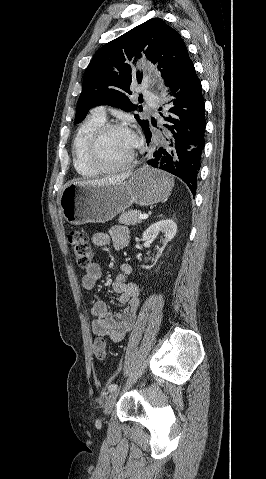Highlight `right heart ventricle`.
<instances>
[{"mask_svg":"<svg viewBox=\"0 0 266 479\" xmlns=\"http://www.w3.org/2000/svg\"><path fill=\"white\" fill-rule=\"evenodd\" d=\"M105 123V118L96 114H90L79 126L73 140V163L75 170L83 177H96L99 172L93 169L86 159V148L93 132Z\"/></svg>","mask_w":266,"mask_h":479,"instance_id":"e07e8e85","label":"right heart ventricle"}]
</instances>
